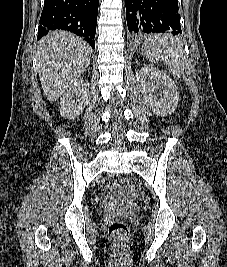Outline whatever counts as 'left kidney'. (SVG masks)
<instances>
[{
  "mask_svg": "<svg viewBox=\"0 0 227 267\" xmlns=\"http://www.w3.org/2000/svg\"><path fill=\"white\" fill-rule=\"evenodd\" d=\"M141 92L152 109L161 116L172 113L178 104V92L172 78L152 67H143L136 73Z\"/></svg>",
  "mask_w": 227,
  "mask_h": 267,
  "instance_id": "5707ae66",
  "label": "left kidney"
}]
</instances>
